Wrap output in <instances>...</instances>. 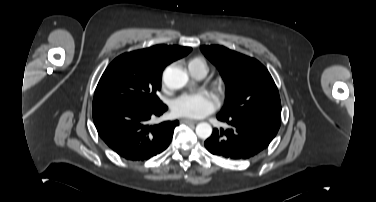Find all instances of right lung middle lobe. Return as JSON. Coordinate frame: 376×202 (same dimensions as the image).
Wrapping results in <instances>:
<instances>
[{
	"label": "right lung middle lobe",
	"instance_id": "1",
	"mask_svg": "<svg viewBox=\"0 0 376 202\" xmlns=\"http://www.w3.org/2000/svg\"><path fill=\"white\" fill-rule=\"evenodd\" d=\"M161 75L152 73L134 53L114 59L103 73L93 98V108L113 102L154 105L160 102Z\"/></svg>",
	"mask_w": 376,
	"mask_h": 202
}]
</instances>
